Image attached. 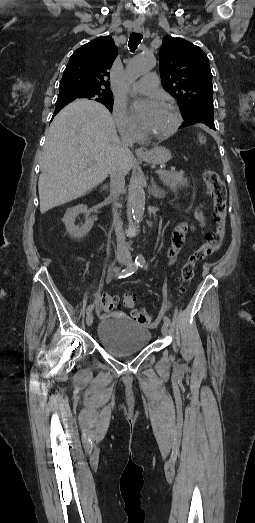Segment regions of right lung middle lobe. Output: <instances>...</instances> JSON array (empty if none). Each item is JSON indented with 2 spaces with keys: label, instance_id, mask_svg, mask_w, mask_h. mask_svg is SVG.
<instances>
[{
  "label": "right lung middle lobe",
  "instance_id": "1",
  "mask_svg": "<svg viewBox=\"0 0 255 523\" xmlns=\"http://www.w3.org/2000/svg\"><path fill=\"white\" fill-rule=\"evenodd\" d=\"M59 92L57 102L70 103L77 98H94L95 101L102 104L113 103L112 94L85 92L80 90H63Z\"/></svg>",
  "mask_w": 255,
  "mask_h": 523
}]
</instances>
